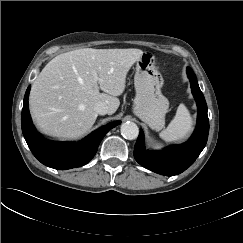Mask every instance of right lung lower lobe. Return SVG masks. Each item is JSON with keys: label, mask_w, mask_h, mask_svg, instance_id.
Masks as SVG:
<instances>
[{"label": "right lung lower lobe", "mask_w": 243, "mask_h": 243, "mask_svg": "<svg viewBox=\"0 0 243 243\" xmlns=\"http://www.w3.org/2000/svg\"><path fill=\"white\" fill-rule=\"evenodd\" d=\"M30 86L24 96L21 114L22 132L33 155L44 165L54 169H71L87 164L96 154L98 146L110 129L120 121L111 122L78 143L49 141L39 135L31 121L28 109Z\"/></svg>", "instance_id": "right-lung-lower-lobe-1"}]
</instances>
